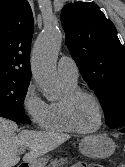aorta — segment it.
Returning <instances> with one entry per match:
<instances>
[{"label": "aorta", "instance_id": "1", "mask_svg": "<svg viewBox=\"0 0 125 167\" xmlns=\"http://www.w3.org/2000/svg\"><path fill=\"white\" fill-rule=\"evenodd\" d=\"M62 43V33L56 28L44 30L38 37L32 55V75L36 84L49 100L58 98L56 86V55Z\"/></svg>", "mask_w": 125, "mask_h": 167}]
</instances>
